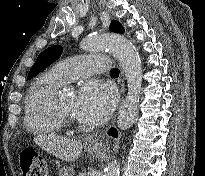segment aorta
Listing matches in <instances>:
<instances>
[{"label": "aorta", "instance_id": "1", "mask_svg": "<svg viewBox=\"0 0 205 176\" xmlns=\"http://www.w3.org/2000/svg\"><path fill=\"white\" fill-rule=\"evenodd\" d=\"M85 51L95 52L108 49L119 61L127 80L128 93L120 106L117 125L120 130L130 128L138 113L142 86V66L134 45L124 36L114 33L94 34L81 42ZM120 165L112 161L104 176H119Z\"/></svg>", "mask_w": 205, "mask_h": 176}]
</instances>
